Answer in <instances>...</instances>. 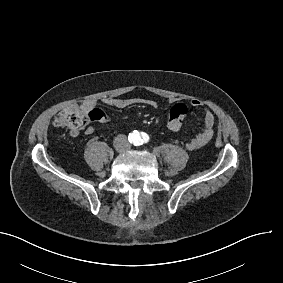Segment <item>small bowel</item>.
<instances>
[{"instance_id":"obj_1","label":"small bowel","mask_w":283,"mask_h":283,"mask_svg":"<svg viewBox=\"0 0 283 283\" xmlns=\"http://www.w3.org/2000/svg\"><path fill=\"white\" fill-rule=\"evenodd\" d=\"M98 104H101L106 107H113L120 109L132 107L136 105H142L152 109H156L159 106L156 100L141 98V97H129V98L104 97L100 100L87 99L82 103L81 108L83 111L86 112V118L88 120H95L99 122H105L108 120L106 114L103 111L96 108ZM178 104H176L173 107V109L170 112V116L173 113L174 108ZM191 105L195 108H201L204 111V116L202 119L200 131L198 132L197 135L190 138L185 143L187 149H189L190 151H197L203 148L205 145H207L213 138L215 133V118L211 110L208 107L204 106L199 100L197 99L191 100ZM181 124L176 129L171 128L168 123L167 126L171 131H177L180 129ZM94 131L95 129L92 126L87 127L85 130L86 134L88 135L93 134Z\"/></svg>"}]
</instances>
